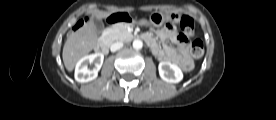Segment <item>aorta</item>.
Instances as JSON below:
<instances>
[{"mask_svg": "<svg viewBox=\"0 0 276 120\" xmlns=\"http://www.w3.org/2000/svg\"><path fill=\"white\" fill-rule=\"evenodd\" d=\"M143 47V42L139 39H135L133 41V48L136 49V50H139Z\"/></svg>", "mask_w": 276, "mask_h": 120, "instance_id": "1", "label": "aorta"}]
</instances>
